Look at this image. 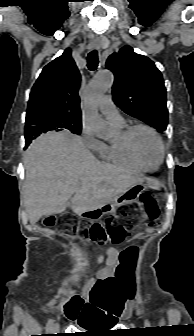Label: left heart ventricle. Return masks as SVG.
<instances>
[{
  "instance_id": "1",
  "label": "left heart ventricle",
  "mask_w": 194,
  "mask_h": 336,
  "mask_svg": "<svg viewBox=\"0 0 194 336\" xmlns=\"http://www.w3.org/2000/svg\"><path fill=\"white\" fill-rule=\"evenodd\" d=\"M133 144L138 156L148 165H156L160 160V147L149 131L139 129L133 134Z\"/></svg>"
}]
</instances>
